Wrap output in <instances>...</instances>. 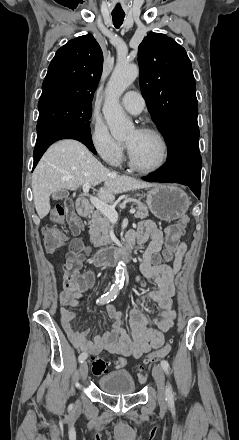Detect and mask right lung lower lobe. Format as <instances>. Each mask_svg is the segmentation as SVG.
I'll list each match as a JSON object with an SVG mask.
<instances>
[{
    "label": "right lung lower lobe",
    "mask_w": 239,
    "mask_h": 440,
    "mask_svg": "<svg viewBox=\"0 0 239 440\" xmlns=\"http://www.w3.org/2000/svg\"><path fill=\"white\" fill-rule=\"evenodd\" d=\"M37 132V141L33 154V169L35 168L47 148L52 143L60 139H76L85 144L94 154H96V150L92 143L91 134L88 131H83L79 128L68 125H50L38 130Z\"/></svg>",
    "instance_id": "obj_1"
}]
</instances>
